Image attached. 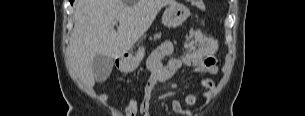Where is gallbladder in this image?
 <instances>
[{
    "label": "gallbladder",
    "instance_id": "obj_1",
    "mask_svg": "<svg viewBox=\"0 0 305 116\" xmlns=\"http://www.w3.org/2000/svg\"><path fill=\"white\" fill-rule=\"evenodd\" d=\"M93 73L96 82H105L113 69V59L102 54H97L92 63Z\"/></svg>",
    "mask_w": 305,
    "mask_h": 116
}]
</instances>
